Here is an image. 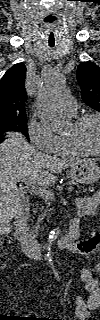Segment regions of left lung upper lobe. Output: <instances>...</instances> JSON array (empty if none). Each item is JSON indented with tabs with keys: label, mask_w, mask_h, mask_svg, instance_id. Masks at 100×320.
<instances>
[{
	"label": "left lung upper lobe",
	"mask_w": 100,
	"mask_h": 320,
	"mask_svg": "<svg viewBox=\"0 0 100 320\" xmlns=\"http://www.w3.org/2000/svg\"><path fill=\"white\" fill-rule=\"evenodd\" d=\"M76 77L83 101L100 111V68L93 62H83L77 67Z\"/></svg>",
	"instance_id": "obj_1"
}]
</instances>
